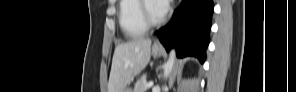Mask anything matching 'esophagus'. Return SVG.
Instances as JSON below:
<instances>
[{
	"instance_id": "34e87169",
	"label": "esophagus",
	"mask_w": 296,
	"mask_h": 92,
	"mask_svg": "<svg viewBox=\"0 0 296 92\" xmlns=\"http://www.w3.org/2000/svg\"><path fill=\"white\" fill-rule=\"evenodd\" d=\"M154 46H155V47H160L161 44L157 41V42L154 43Z\"/></svg>"
}]
</instances>
